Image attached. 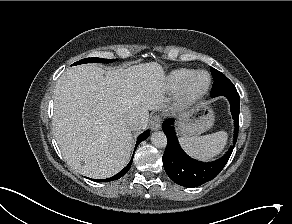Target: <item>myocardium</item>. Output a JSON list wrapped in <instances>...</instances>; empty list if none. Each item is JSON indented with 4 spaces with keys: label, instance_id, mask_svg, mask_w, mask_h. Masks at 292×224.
<instances>
[{
    "label": "myocardium",
    "instance_id": "obj_1",
    "mask_svg": "<svg viewBox=\"0 0 292 224\" xmlns=\"http://www.w3.org/2000/svg\"><path fill=\"white\" fill-rule=\"evenodd\" d=\"M202 73L207 74L208 76V83L207 85L200 90H195L193 88V83L196 77ZM212 84V76L206 70H198L195 71L183 84L182 88L180 89L179 99L183 104H191L197 101L198 99L202 98L204 95L207 94Z\"/></svg>",
    "mask_w": 292,
    "mask_h": 224
}]
</instances>
